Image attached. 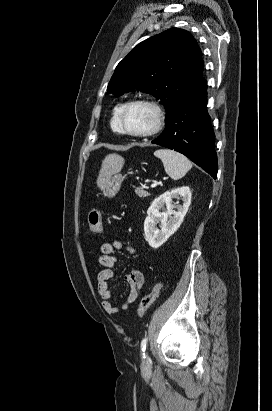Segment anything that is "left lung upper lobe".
Segmentation results:
<instances>
[{"label":"left lung upper lobe","instance_id":"5c2ea615","mask_svg":"<svg viewBox=\"0 0 272 411\" xmlns=\"http://www.w3.org/2000/svg\"><path fill=\"white\" fill-rule=\"evenodd\" d=\"M202 53L186 30L171 28L138 44L116 67L107 91L116 97L132 89L160 99L167 123L177 108L205 83Z\"/></svg>","mask_w":272,"mask_h":411}]
</instances>
